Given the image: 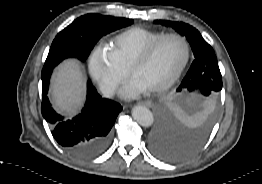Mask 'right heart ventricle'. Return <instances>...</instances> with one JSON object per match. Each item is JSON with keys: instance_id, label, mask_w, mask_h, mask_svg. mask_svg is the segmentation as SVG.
<instances>
[{"instance_id": "1", "label": "right heart ventricle", "mask_w": 262, "mask_h": 184, "mask_svg": "<svg viewBox=\"0 0 262 184\" xmlns=\"http://www.w3.org/2000/svg\"><path fill=\"white\" fill-rule=\"evenodd\" d=\"M162 34L141 27H132L113 38L109 51L117 63L125 70H128L141 51Z\"/></svg>"}]
</instances>
